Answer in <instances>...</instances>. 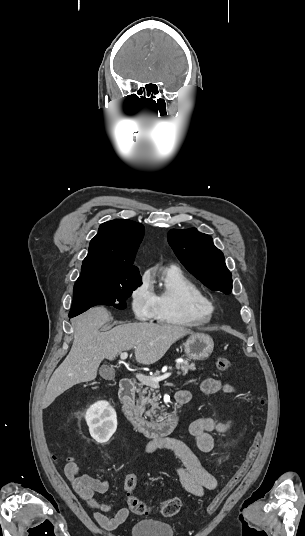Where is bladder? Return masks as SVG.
<instances>
[{
    "mask_svg": "<svg viewBox=\"0 0 305 536\" xmlns=\"http://www.w3.org/2000/svg\"><path fill=\"white\" fill-rule=\"evenodd\" d=\"M130 533L131 536H153L156 533H160L162 536H174V527L171 522L147 517L133 524Z\"/></svg>",
    "mask_w": 305,
    "mask_h": 536,
    "instance_id": "obj_1",
    "label": "bladder"
}]
</instances>
